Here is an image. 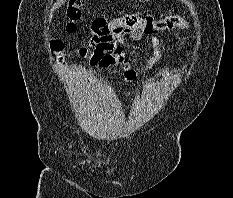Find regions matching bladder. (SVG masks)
I'll list each match as a JSON object with an SVG mask.
<instances>
[{"mask_svg": "<svg viewBox=\"0 0 233 198\" xmlns=\"http://www.w3.org/2000/svg\"><path fill=\"white\" fill-rule=\"evenodd\" d=\"M89 127L90 128H94V129H96V128H98L99 127V123L97 122V120H92V121H90L89 123Z\"/></svg>", "mask_w": 233, "mask_h": 198, "instance_id": "31cf9c89", "label": "bladder"}]
</instances>
